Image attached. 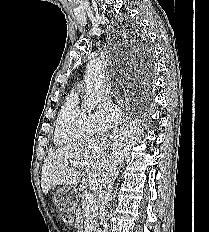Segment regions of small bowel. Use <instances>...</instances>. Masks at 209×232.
<instances>
[{"label": "small bowel", "mask_w": 209, "mask_h": 232, "mask_svg": "<svg viewBox=\"0 0 209 232\" xmlns=\"http://www.w3.org/2000/svg\"><path fill=\"white\" fill-rule=\"evenodd\" d=\"M73 225H74L75 228H76V232H82V229H81L80 221H79V220H75V221L73 222Z\"/></svg>", "instance_id": "obj_1"}]
</instances>
